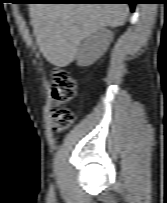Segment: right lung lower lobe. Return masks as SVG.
<instances>
[{
	"mask_svg": "<svg viewBox=\"0 0 167 203\" xmlns=\"http://www.w3.org/2000/svg\"><path fill=\"white\" fill-rule=\"evenodd\" d=\"M87 2L83 3H127L130 5L131 12L135 9V4H137V0H85Z\"/></svg>",
	"mask_w": 167,
	"mask_h": 203,
	"instance_id": "98d812e1",
	"label": "right lung lower lobe"
}]
</instances>
